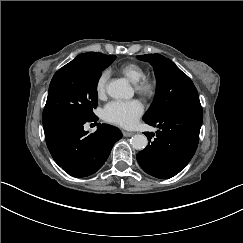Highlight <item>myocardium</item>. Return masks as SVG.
I'll return each mask as SVG.
<instances>
[{
	"label": "myocardium",
	"mask_w": 243,
	"mask_h": 243,
	"mask_svg": "<svg viewBox=\"0 0 243 243\" xmlns=\"http://www.w3.org/2000/svg\"><path fill=\"white\" fill-rule=\"evenodd\" d=\"M136 91L146 98L156 96L159 90V80L154 75H144L136 83Z\"/></svg>",
	"instance_id": "f54148a6"
}]
</instances>
